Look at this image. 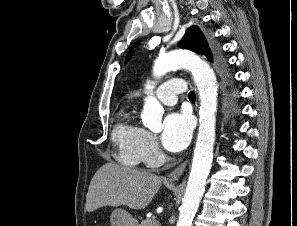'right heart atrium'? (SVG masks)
Here are the masks:
<instances>
[{
    "instance_id": "obj_1",
    "label": "right heart atrium",
    "mask_w": 297,
    "mask_h": 226,
    "mask_svg": "<svg viewBox=\"0 0 297 226\" xmlns=\"http://www.w3.org/2000/svg\"><path fill=\"white\" fill-rule=\"evenodd\" d=\"M160 157L161 152L156 136L148 131H144L141 147V161L148 165H156Z\"/></svg>"
}]
</instances>
